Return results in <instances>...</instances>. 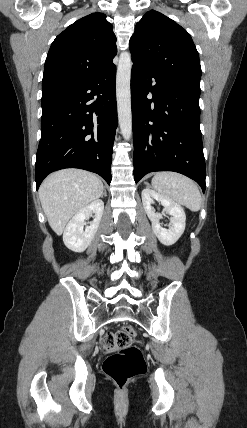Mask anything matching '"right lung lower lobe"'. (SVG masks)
Masks as SVG:
<instances>
[{
    "label": "right lung lower lobe",
    "instance_id": "obj_1",
    "mask_svg": "<svg viewBox=\"0 0 247 428\" xmlns=\"http://www.w3.org/2000/svg\"><path fill=\"white\" fill-rule=\"evenodd\" d=\"M115 83L112 64L80 85L42 93L37 189L49 173L63 168L97 173L110 184L117 127Z\"/></svg>",
    "mask_w": 247,
    "mask_h": 428
}]
</instances>
